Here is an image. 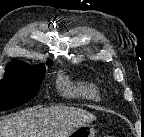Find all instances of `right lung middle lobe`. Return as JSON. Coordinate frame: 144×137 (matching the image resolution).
<instances>
[{
	"label": "right lung middle lobe",
	"mask_w": 144,
	"mask_h": 137,
	"mask_svg": "<svg viewBox=\"0 0 144 137\" xmlns=\"http://www.w3.org/2000/svg\"><path fill=\"white\" fill-rule=\"evenodd\" d=\"M44 76L43 65L6 67L4 78L0 80V111L20 106L32 99Z\"/></svg>",
	"instance_id": "obj_1"
}]
</instances>
